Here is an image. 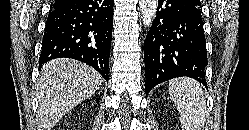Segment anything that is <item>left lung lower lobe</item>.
<instances>
[{
	"label": "left lung lower lobe",
	"mask_w": 249,
	"mask_h": 130,
	"mask_svg": "<svg viewBox=\"0 0 249 130\" xmlns=\"http://www.w3.org/2000/svg\"><path fill=\"white\" fill-rule=\"evenodd\" d=\"M146 94L169 79L188 76L206 86V41L200 7L189 0H158L144 41Z\"/></svg>",
	"instance_id": "left-lung-lower-lobe-1"
}]
</instances>
